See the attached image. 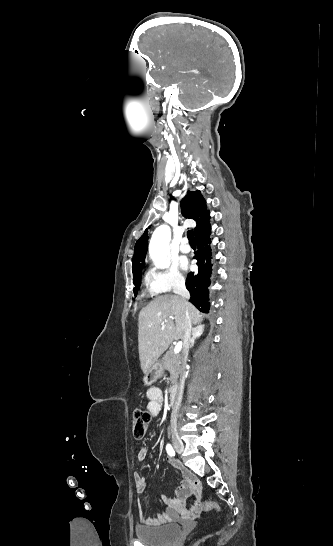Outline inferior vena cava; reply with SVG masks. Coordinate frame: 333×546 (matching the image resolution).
I'll return each instance as SVG.
<instances>
[{"mask_svg": "<svg viewBox=\"0 0 333 546\" xmlns=\"http://www.w3.org/2000/svg\"><path fill=\"white\" fill-rule=\"evenodd\" d=\"M173 290H174L175 294L180 295L183 299H189L190 298V293L185 287V282L182 281V280L175 281L174 286H173ZM191 331H192V325H191L189 317L186 316L185 331H184V336H183L184 354L185 355H187V352H188L190 339H191ZM185 378H186L185 377V369H183V371L181 373V376H180L178 394H177V397H176V400H175V403H174V406H173V409H172V413H171L170 428H171L172 432H175L177 430V417H178V412H179V409H180V406H181Z\"/></svg>", "mask_w": 333, "mask_h": 546, "instance_id": "inferior-vena-cava-1", "label": "inferior vena cava"}]
</instances>
